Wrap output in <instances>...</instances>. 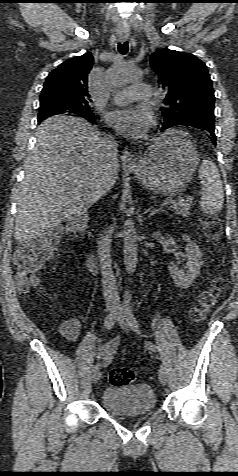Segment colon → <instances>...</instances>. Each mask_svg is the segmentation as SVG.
<instances>
[{"mask_svg": "<svg viewBox=\"0 0 238 476\" xmlns=\"http://www.w3.org/2000/svg\"><path fill=\"white\" fill-rule=\"evenodd\" d=\"M205 234L211 239H217L221 233L220 220L207 215L202 220ZM61 231L52 228L45 235L34 241L20 244L14 255L17 268L16 280L18 289L26 293L38 283L37 272L51 259L60 238ZM222 289V282L203 292L190 310V318L194 322L201 321L207 312L216 304ZM138 378V371L133 367L114 368L109 373L112 385H128Z\"/></svg>", "mask_w": 238, "mask_h": 476, "instance_id": "1", "label": "colon"}]
</instances>
